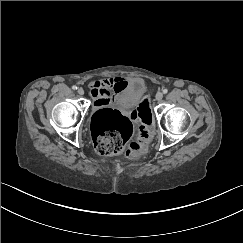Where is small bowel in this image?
Returning a JSON list of instances; mask_svg holds the SVG:
<instances>
[{
	"label": "small bowel",
	"instance_id": "c3829d8e",
	"mask_svg": "<svg viewBox=\"0 0 243 243\" xmlns=\"http://www.w3.org/2000/svg\"><path fill=\"white\" fill-rule=\"evenodd\" d=\"M127 80L122 77H112L94 81L90 86L93 104L96 107L106 105L113 101V94L119 95L126 86Z\"/></svg>",
	"mask_w": 243,
	"mask_h": 243
}]
</instances>
